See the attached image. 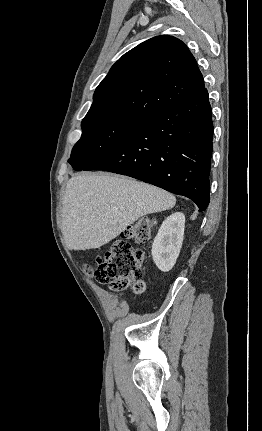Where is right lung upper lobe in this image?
I'll list each match as a JSON object with an SVG mask.
<instances>
[{
    "label": "right lung upper lobe",
    "instance_id": "1",
    "mask_svg": "<svg viewBox=\"0 0 262 431\" xmlns=\"http://www.w3.org/2000/svg\"><path fill=\"white\" fill-rule=\"evenodd\" d=\"M205 89L195 58L179 39L153 37L126 54L96 88L82 124L141 121Z\"/></svg>",
    "mask_w": 262,
    "mask_h": 431
}]
</instances>
